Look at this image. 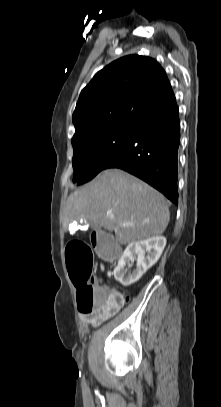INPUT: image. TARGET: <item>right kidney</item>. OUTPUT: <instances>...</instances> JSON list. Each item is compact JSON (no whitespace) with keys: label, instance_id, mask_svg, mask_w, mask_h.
<instances>
[{"label":"right kidney","instance_id":"ca27d5eb","mask_svg":"<svg viewBox=\"0 0 221 407\" xmlns=\"http://www.w3.org/2000/svg\"><path fill=\"white\" fill-rule=\"evenodd\" d=\"M166 238L154 236L145 240L131 242L124 250L121 258L114 269V277L123 286H129L137 282L160 258ZM147 255L145 256V254ZM137 258V267L132 272L125 268Z\"/></svg>","mask_w":221,"mask_h":407}]
</instances>
